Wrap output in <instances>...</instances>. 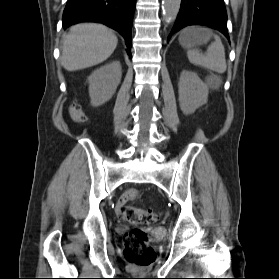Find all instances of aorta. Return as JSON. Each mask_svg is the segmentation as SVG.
Segmentation results:
<instances>
[{
    "label": "aorta",
    "instance_id": "1",
    "mask_svg": "<svg viewBox=\"0 0 279 279\" xmlns=\"http://www.w3.org/2000/svg\"><path fill=\"white\" fill-rule=\"evenodd\" d=\"M181 0H163L162 9L166 23H171L176 19L180 9Z\"/></svg>",
    "mask_w": 279,
    "mask_h": 279
}]
</instances>
